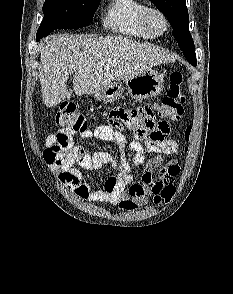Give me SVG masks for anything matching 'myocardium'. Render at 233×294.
<instances>
[{"label":"myocardium","mask_w":233,"mask_h":294,"mask_svg":"<svg viewBox=\"0 0 233 294\" xmlns=\"http://www.w3.org/2000/svg\"><path fill=\"white\" fill-rule=\"evenodd\" d=\"M153 18H158L162 23L160 30L153 25ZM142 23L144 27L154 36H161L169 29V20L166 14L157 7H147L142 14Z\"/></svg>","instance_id":"1"}]
</instances>
